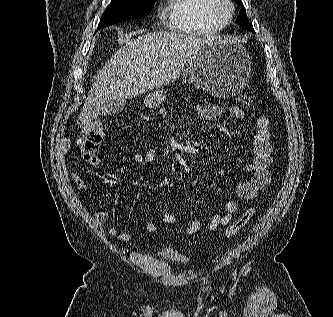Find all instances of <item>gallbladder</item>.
I'll return each mask as SVG.
<instances>
[{
	"label": "gallbladder",
	"mask_w": 333,
	"mask_h": 317,
	"mask_svg": "<svg viewBox=\"0 0 333 317\" xmlns=\"http://www.w3.org/2000/svg\"><path fill=\"white\" fill-rule=\"evenodd\" d=\"M126 105L124 97L114 96L105 101L101 106L102 115H116L119 114Z\"/></svg>",
	"instance_id": "bac80fb5"
}]
</instances>
